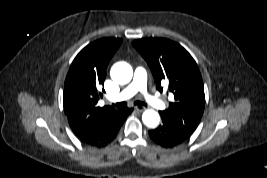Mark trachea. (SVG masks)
<instances>
[{
	"label": "trachea",
	"mask_w": 267,
	"mask_h": 178,
	"mask_svg": "<svg viewBox=\"0 0 267 178\" xmlns=\"http://www.w3.org/2000/svg\"><path fill=\"white\" fill-rule=\"evenodd\" d=\"M126 104H127L126 102H118V103H116V104H112V106H113V107H116V108H120V107H122V106H125ZM134 104H135V105H144V106H146L145 103L140 102V101H136Z\"/></svg>",
	"instance_id": "obj_1"
}]
</instances>
